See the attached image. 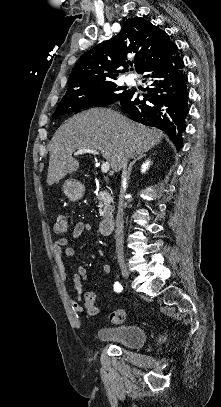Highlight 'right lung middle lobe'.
Returning <instances> with one entry per match:
<instances>
[{"label": "right lung middle lobe", "instance_id": "obj_1", "mask_svg": "<svg viewBox=\"0 0 221 407\" xmlns=\"http://www.w3.org/2000/svg\"><path fill=\"white\" fill-rule=\"evenodd\" d=\"M128 92L125 87H117L114 82L70 91L64 95L53 115L59 116L82 108L109 105Z\"/></svg>", "mask_w": 221, "mask_h": 407}]
</instances>
